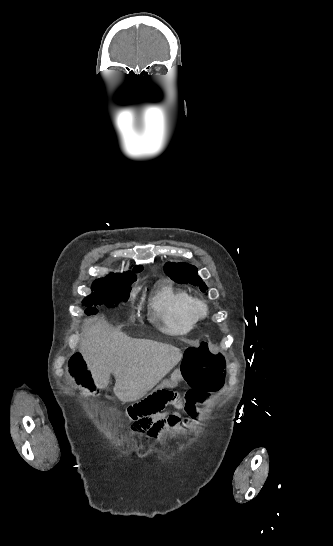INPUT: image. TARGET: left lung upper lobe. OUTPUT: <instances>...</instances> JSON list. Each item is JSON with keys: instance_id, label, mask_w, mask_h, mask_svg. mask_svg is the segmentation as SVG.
I'll use <instances>...</instances> for the list:
<instances>
[{"instance_id": "1", "label": "left lung upper lobe", "mask_w": 333, "mask_h": 546, "mask_svg": "<svg viewBox=\"0 0 333 546\" xmlns=\"http://www.w3.org/2000/svg\"><path fill=\"white\" fill-rule=\"evenodd\" d=\"M164 272L178 283L197 285L202 292H205L208 289L202 279L197 275V268L188 263H167L164 266Z\"/></svg>"}]
</instances>
